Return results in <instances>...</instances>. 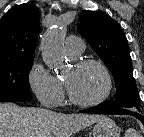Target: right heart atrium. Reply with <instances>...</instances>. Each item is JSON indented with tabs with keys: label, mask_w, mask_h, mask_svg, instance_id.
Listing matches in <instances>:
<instances>
[{
	"label": "right heart atrium",
	"mask_w": 144,
	"mask_h": 137,
	"mask_svg": "<svg viewBox=\"0 0 144 137\" xmlns=\"http://www.w3.org/2000/svg\"><path fill=\"white\" fill-rule=\"evenodd\" d=\"M28 85L45 107L55 108L64 101L62 81L53 75L41 62L34 61L27 74Z\"/></svg>",
	"instance_id": "1"
}]
</instances>
